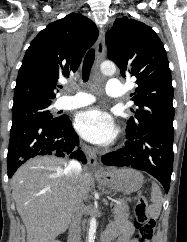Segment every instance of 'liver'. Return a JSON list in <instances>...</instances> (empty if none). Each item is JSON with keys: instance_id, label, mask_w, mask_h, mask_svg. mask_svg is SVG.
<instances>
[{"instance_id": "1", "label": "liver", "mask_w": 187, "mask_h": 242, "mask_svg": "<svg viewBox=\"0 0 187 242\" xmlns=\"http://www.w3.org/2000/svg\"><path fill=\"white\" fill-rule=\"evenodd\" d=\"M67 161L55 156L27 161L11 179L27 242H52L69 227L76 202L86 200L93 183L85 169L77 179L66 175Z\"/></svg>"}]
</instances>
